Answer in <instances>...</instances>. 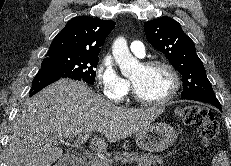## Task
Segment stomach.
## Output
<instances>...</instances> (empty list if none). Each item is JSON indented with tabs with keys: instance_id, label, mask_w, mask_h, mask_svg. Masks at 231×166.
Instances as JSON below:
<instances>
[{
	"instance_id": "stomach-1",
	"label": "stomach",
	"mask_w": 231,
	"mask_h": 166,
	"mask_svg": "<svg viewBox=\"0 0 231 166\" xmlns=\"http://www.w3.org/2000/svg\"><path fill=\"white\" fill-rule=\"evenodd\" d=\"M177 134L173 127L164 122H156L135 134L137 146L150 153L162 152L173 145Z\"/></svg>"
}]
</instances>
